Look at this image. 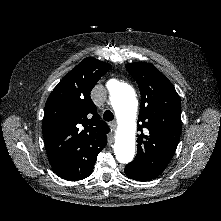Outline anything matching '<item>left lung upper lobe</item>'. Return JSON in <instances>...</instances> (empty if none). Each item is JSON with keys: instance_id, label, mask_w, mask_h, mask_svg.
<instances>
[{"instance_id": "1", "label": "left lung upper lobe", "mask_w": 221, "mask_h": 221, "mask_svg": "<svg viewBox=\"0 0 221 221\" xmlns=\"http://www.w3.org/2000/svg\"><path fill=\"white\" fill-rule=\"evenodd\" d=\"M141 92L137 155L126 168L162 173L175 153L181 134V101L172 83L150 63L125 65Z\"/></svg>"}]
</instances>
